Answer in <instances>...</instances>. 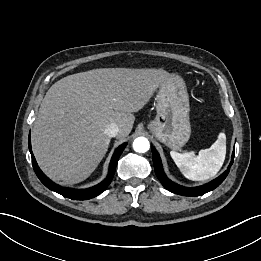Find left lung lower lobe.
Returning <instances> with one entry per match:
<instances>
[{
    "label": "left lung lower lobe",
    "mask_w": 261,
    "mask_h": 261,
    "mask_svg": "<svg viewBox=\"0 0 261 261\" xmlns=\"http://www.w3.org/2000/svg\"><path fill=\"white\" fill-rule=\"evenodd\" d=\"M152 154H153V163H154L155 173H156L158 179L160 180V182L162 183V185L170 192H173L175 194H179L182 196H200V195H203V194L215 189L216 187H218L227 177V175L230 171V167L233 164V160H234V152H233L230 165H229L228 169L222 175H220L213 181H211L203 186H199V187H195V188H186V187H182L178 184L173 183L171 180H169L167 178V176L165 175V173L163 171L160 157H159L157 151L153 147H152Z\"/></svg>",
    "instance_id": "1"
}]
</instances>
